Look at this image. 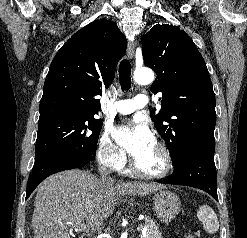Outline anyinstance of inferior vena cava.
Wrapping results in <instances>:
<instances>
[{
	"label": "inferior vena cava",
	"mask_w": 247,
	"mask_h": 238,
	"mask_svg": "<svg viewBox=\"0 0 247 238\" xmlns=\"http://www.w3.org/2000/svg\"><path fill=\"white\" fill-rule=\"evenodd\" d=\"M98 171L100 173V177L102 180L112 181V178L109 176L110 171L107 170L106 167H104L101 163H100Z\"/></svg>",
	"instance_id": "1"
}]
</instances>
